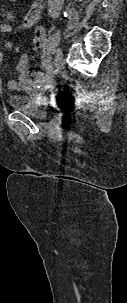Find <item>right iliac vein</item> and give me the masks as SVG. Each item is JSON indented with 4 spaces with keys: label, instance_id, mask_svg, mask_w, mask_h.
Masks as SVG:
<instances>
[{
    "label": "right iliac vein",
    "instance_id": "63e3f726",
    "mask_svg": "<svg viewBox=\"0 0 127 303\" xmlns=\"http://www.w3.org/2000/svg\"><path fill=\"white\" fill-rule=\"evenodd\" d=\"M62 57H63L62 50L58 49L57 53H56V56H55V60H54L56 66H58L61 63Z\"/></svg>",
    "mask_w": 127,
    "mask_h": 303
}]
</instances>
